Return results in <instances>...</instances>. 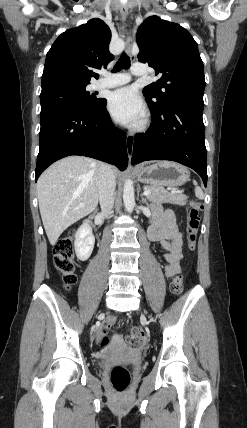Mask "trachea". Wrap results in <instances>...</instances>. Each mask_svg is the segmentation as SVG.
I'll list each match as a JSON object with an SVG mask.
<instances>
[{
    "instance_id": "obj_1",
    "label": "trachea",
    "mask_w": 247,
    "mask_h": 428,
    "mask_svg": "<svg viewBox=\"0 0 247 428\" xmlns=\"http://www.w3.org/2000/svg\"><path fill=\"white\" fill-rule=\"evenodd\" d=\"M129 66H130V59L126 53H123L120 59L118 60V62L116 63V65L114 66L113 71L118 72L121 69L129 68Z\"/></svg>"
}]
</instances>
